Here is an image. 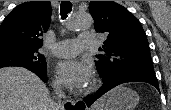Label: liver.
Wrapping results in <instances>:
<instances>
[{
    "label": "liver",
    "instance_id": "liver-1",
    "mask_svg": "<svg viewBox=\"0 0 171 110\" xmlns=\"http://www.w3.org/2000/svg\"><path fill=\"white\" fill-rule=\"evenodd\" d=\"M54 100L42 80L21 67L0 69V110H54ZM102 100L92 106L99 110Z\"/></svg>",
    "mask_w": 171,
    "mask_h": 110
}]
</instances>
